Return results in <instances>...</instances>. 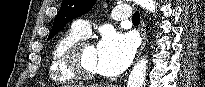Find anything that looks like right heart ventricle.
Segmentation results:
<instances>
[{
    "label": "right heart ventricle",
    "mask_w": 205,
    "mask_h": 87,
    "mask_svg": "<svg viewBox=\"0 0 205 87\" xmlns=\"http://www.w3.org/2000/svg\"><path fill=\"white\" fill-rule=\"evenodd\" d=\"M82 38V35L70 29L55 41L49 61V76L53 83L71 84L77 80L66 67L64 57L67 50Z\"/></svg>",
    "instance_id": "right-heart-ventricle-1"
}]
</instances>
